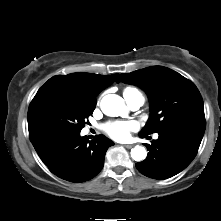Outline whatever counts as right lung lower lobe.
I'll return each mask as SVG.
<instances>
[{"label":"right lung lower lobe","instance_id":"1","mask_svg":"<svg viewBox=\"0 0 221 221\" xmlns=\"http://www.w3.org/2000/svg\"><path fill=\"white\" fill-rule=\"evenodd\" d=\"M30 140L52 173L76 183L88 181L101 171L105 153L114 144L102 134L92 141L73 133H44Z\"/></svg>","mask_w":221,"mask_h":221}]
</instances>
